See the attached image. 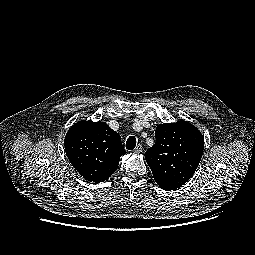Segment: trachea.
Returning <instances> with one entry per match:
<instances>
[{
  "mask_svg": "<svg viewBox=\"0 0 255 255\" xmlns=\"http://www.w3.org/2000/svg\"><path fill=\"white\" fill-rule=\"evenodd\" d=\"M136 146V138L134 136H130L126 141V148L128 150H133Z\"/></svg>",
  "mask_w": 255,
  "mask_h": 255,
  "instance_id": "3493384b",
  "label": "trachea"
}]
</instances>
